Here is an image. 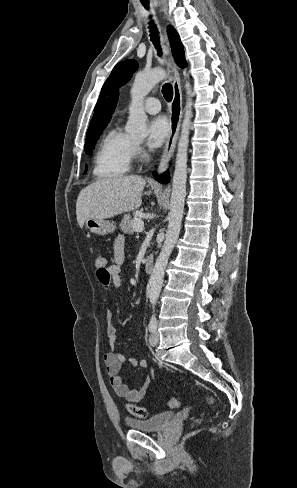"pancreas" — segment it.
Wrapping results in <instances>:
<instances>
[{
  "mask_svg": "<svg viewBox=\"0 0 297 488\" xmlns=\"http://www.w3.org/2000/svg\"><path fill=\"white\" fill-rule=\"evenodd\" d=\"M141 212H136L135 213V218L133 219L130 214H126L124 218L122 219L120 223V228L125 234L133 233L135 230L133 228V222L136 218L137 215H139Z\"/></svg>",
  "mask_w": 297,
  "mask_h": 488,
  "instance_id": "cf45deb5",
  "label": "pancreas"
}]
</instances>
